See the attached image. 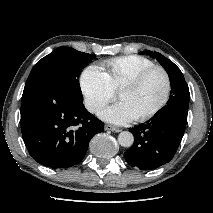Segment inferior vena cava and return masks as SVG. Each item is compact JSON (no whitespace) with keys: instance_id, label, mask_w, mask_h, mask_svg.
Returning a JSON list of instances; mask_svg holds the SVG:
<instances>
[{"instance_id":"inferior-vena-cava-1","label":"inferior vena cava","mask_w":213,"mask_h":213,"mask_svg":"<svg viewBox=\"0 0 213 213\" xmlns=\"http://www.w3.org/2000/svg\"><path fill=\"white\" fill-rule=\"evenodd\" d=\"M85 105H86V108H87L89 111H91V112H93V111L95 110V108L97 107L96 104L91 103V102H89V101L86 102Z\"/></svg>"}]
</instances>
